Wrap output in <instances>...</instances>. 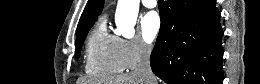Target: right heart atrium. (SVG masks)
<instances>
[{
    "label": "right heart atrium",
    "mask_w": 260,
    "mask_h": 84,
    "mask_svg": "<svg viewBox=\"0 0 260 84\" xmlns=\"http://www.w3.org/2000/svg\"><path fill=\"white\" fill-rule=\"evenodd\" d=\"M152 48L140 36L132 38L118 37L119 57L126 69L135 68L151 55Z\"/></svg>",
    "instance_id": "right-heart-atrium-1"
}]
</instances>
